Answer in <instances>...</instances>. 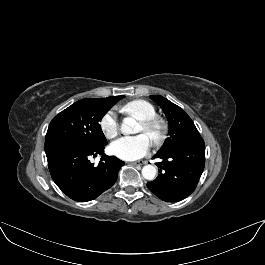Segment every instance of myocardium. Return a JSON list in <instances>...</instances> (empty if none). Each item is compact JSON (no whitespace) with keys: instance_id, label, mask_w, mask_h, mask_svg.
<instances>
[{"instance_id":"f54148a6","label":"myocardium","mask_w":265,"mask_h":265,"mask_svg":"<svg viewBox=\"0 0 265 265\" xmlns=\"http://www.w3.org/2000/svg\"><path fill=\"white\" fill-rule=\"evenodd\" d=\"M141 124L145 133L148 134L155 145L160 144L164 140L167 126L163 120L158 117H152L141 120Z\"/></svg>"}]
</instances>
